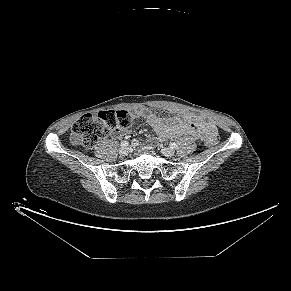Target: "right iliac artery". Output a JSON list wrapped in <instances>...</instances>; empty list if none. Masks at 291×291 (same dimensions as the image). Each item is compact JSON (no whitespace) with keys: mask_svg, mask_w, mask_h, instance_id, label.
Wrapping results in <instances>:
<instances>
[{"mask_svg":"<svg viewBox=\"0 0 291 291\" xmlns=\"http://www.w3.org/2000/svg\"><path fill=\"white\" fill-rule=\"evenodd\" d=\"M128 144H129L128 141H122L121 142V146L122 147H126V146H128Z\"/></svg>","mask_w":291,"mask_h":291,"instance_id":"82829eb1","label":"right iliac artery"}]
</instances>
